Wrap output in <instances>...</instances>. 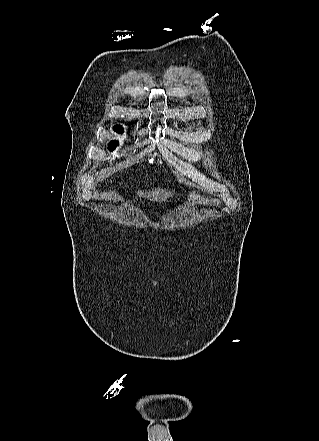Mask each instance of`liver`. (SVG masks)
<instances>
[{
  "instance_id": "obj_1",
  "label": "liver",
  "mask_w": 319,
  "mask_h": 441,
  "mask_svg": "<svg viewBox=\"0 0 319 441\" xmlns=\"http://www.w3.org/2000/svg\"><path fill=\"white\" fill-rule=\"evenodd\" d=\"M173 194H174L173 192H167L160 188H156L155 190L149 192L138 191V195L148 199H152L153 201L166 200L167 198L172 197Z\"/></svg>"
}]
</instances>
